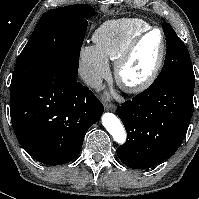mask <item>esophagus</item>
I'll return each instance as SVG.
<instances>
[{"instance_id": "obj_1", "label": "esophagus", "mask_w": 199, "mask_h": 199, "mask_svg": "<svg viewBox=\"0 0 199 199\" xmlns=\"http://www.w3.org/2000/svg\"><path fill=\"white\" fill-rule=\"evenodd\" d=\"M105 109L114 112L116 110V106L113 104H106Z\"/></svg>"}]
</instances>
